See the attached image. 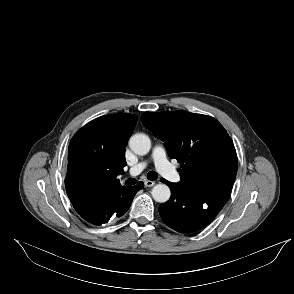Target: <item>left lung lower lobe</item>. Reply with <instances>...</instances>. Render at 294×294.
Segmentation results:
<instances>
[{
  "label": "left lung lower lobe",
  "mask_w": 294,
  "mask_h": 294,
  "mask_svg": "<svg viewBox=\"0 0 294 294\" xmlns=\"http://www.w3.org/2000/svg\"><path fill=\"white\" fill-rule=\"evenodd\" d=\"M162 181L170 187L171 197L159 206V213L166 225L181 233L194 232L209 224L231 191L228 186L184 188L178 183Z\"/></svg>",
  "instance_id": "1"
}]
</instances>
